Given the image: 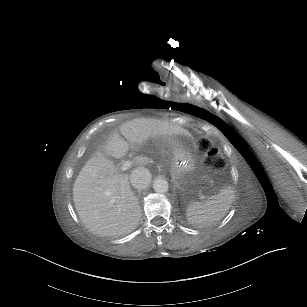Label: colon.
<instances>
[{
  "instance_id": "5ec220e1",
  "label": "colon",
  "mask_w": 307,
  "mask_h": 307,
  "mask_svg": "<svg viewBox=\"0 0 307 307\" xmlns=\"http://www.w3.org/2000/svg\"><path fill=\"white\" fill-rule=\"evenodd\" d=\"M199 149L206 152L205 165L208 168L216 167L219 171H226L229 168V161L225 158V153L212 147L209 139H202L199 142Z\"/></svg>"
}]
</instances>
